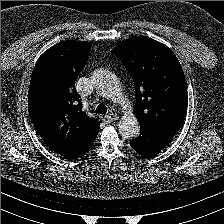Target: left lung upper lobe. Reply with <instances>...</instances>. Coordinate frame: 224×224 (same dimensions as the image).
<instances>
[{
	"label": "left lung upper lobe",
	"instance_id": "left-lung-upper-lobe-1",
	"mask_svg": "<svg viewBox=\"0 0 224 224\" xmlns=\"http://www.w3.org/2000/svg\"><path fill=\"white\" fill-rule=\"evenodd\" d=\"M114 52L134 81L140 129L172 140L184 122L188 102L178 59L167 46L148 37L124 40Z\"/></svg>",
	"mask_w": 224,
	"mask_h": 224
}]
</instances>
